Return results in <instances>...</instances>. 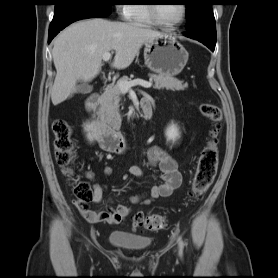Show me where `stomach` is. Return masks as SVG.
I'll list each match as a JSON object with an SVG mask.
<instances>
[{"mask_svg":"<svg viewBox=\"0 0 278 278\" xmlns=\"http://www.w3.org/2000/svg\"><path fill=\"white\" fill-rule=\"evenodd\" d=\"M144 45L145 64L157 74L176 76L188 61V52L172 35L164 34Z\"/></svg>","mask_w":278,"mask_h":278,"instance_id":"obj_1","label":"stomach"}]
</instances>
